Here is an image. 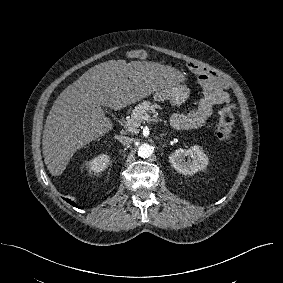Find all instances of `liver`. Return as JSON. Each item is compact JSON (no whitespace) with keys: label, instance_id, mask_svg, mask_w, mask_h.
Returning a JSON list of instances; mask_svg holds the SVG:
<instances>
[{"label":"liver","instance_id":"liver-1","mask_svg":"<svg viewBox=\"0 0 283 283\" xmlns=\"http://www.w3.org/2000/svg\"><path fill=\"white\" fill-rule=\"evenodd\" d=\"M179 81V71L156 62L109 60L87 70L47 116L42 151L51 175H61L77 150L113 128L102 106L120 110Z\"/></svg>","mask_w":283,"mask_h":283}]
</instances>
